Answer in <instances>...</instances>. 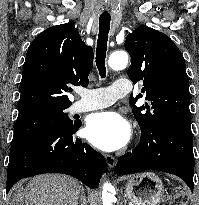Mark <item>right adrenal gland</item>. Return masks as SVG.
I'll use <instances>...</instances> for the list:
<instances>
[{"instance_id": "right-adrenal-gland-1", "label": "right adrenal gland", "mask_w": 199, "mask_h": 205, "mask_svg": "<svg viewBox=\"0 0 199 205\" xmlns=\"http://www.w3.org/2000/svg\"><path fill=\"white\" fill-rule=\"evenodd\" d=\"M81 205H86V196L84 189H81V196H80Z\"/></svg>"}]
</instances>
